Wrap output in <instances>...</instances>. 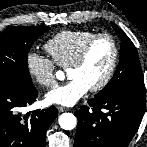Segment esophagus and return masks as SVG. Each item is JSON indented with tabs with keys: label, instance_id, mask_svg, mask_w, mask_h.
Listing matches in <instances>:
<instances>
[{
	"label": "esophagus",
	"instance_id": "obj_1",
	"mask_svg": "<svg viewBox=\"0 0 147 147\" xmlns=\"http://www.w3.org/2000/svg\"><path fill=\"white\" fill-rule=\"evenodd\" d=\"M57 109H58L59 112H64V111L68 110L67 108L62 107V106H58Z\"/></svg>",
	"mask_w": 147,
	"mask_h": 147
}]
</instances>
